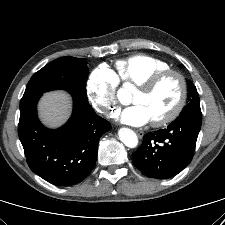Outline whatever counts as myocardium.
Segmentation results:
<instances>
[{
  "mask_svg": "<svg viewBox=\"0 0 225 225\" xmlns=\"http://www.w3.org/2000/svg\"><path fill=\"white\" fill-rule=\"evenodd\" d=\"M169 76H173L177 79L179 83V96L176 104L167 114H165L159 119L151 120V124L154 127H162L164 125H167L180 115L187 98L186 80L180 72L172 69H167L149 76L148 78L136 85L137 89H140L145 92H150L153 91L164 79Z\"/></svg>",
  "mask_w": 225,
  "mask_h": 225,
  "instance_id": "myocardium-1",
  "label": "myocardium"
}]
</instances>
